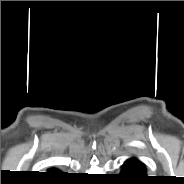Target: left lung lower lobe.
Wrapping results in <instances>:
<instances>
[{"mask_svg":"<svg viewBox=\"0 0 184 184\" xmlns=\"http://www.w3.org/2000/svg\"><path fill=\"white\" fill-rule=\"evenodd\" d=\"M120 176L128 183L138 184L148 180L145 166L136 159H129L124 163Z\"/></svg>","mask_w":184,"mask_h":184,"instance_id":"left-lung-lower-lobe-1","label":"left lung lower lobe"}]
</instances>
